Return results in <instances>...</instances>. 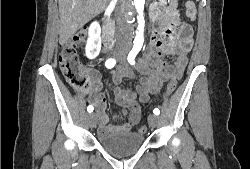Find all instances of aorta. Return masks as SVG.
<instances>
[{
  "label": "aorta",
  "mask_w": 250,
  "mask_h": 169,
  "mask_svg": "<svg viewBox=\"0 0 250 169\" xmlns=\"http://www.w3.org/2000/svg\"><path fill=\"white\" fill-rule=\"evenodd\" d=\"M134 4H135V8L138 12V32L136 34V38L135 40H143L144 36H143V32H144V24H145V20H144V4H145V0H134Z\"/></svg>",
  "instance_id": "762f6f07"
}]
</instances>
